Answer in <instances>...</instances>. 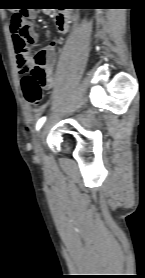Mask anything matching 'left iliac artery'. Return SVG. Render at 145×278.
I'll list each match as a JSON object with an SVG mask.
<instances>
[{
  "mask_svg": "<svg viewBox=\"0 0 145 278\" xmlns=\"http://www.w3.org/2000/svg\"><path fill=\"white\" fill-rule=\"evenodd\" d=\"M45 121H46V117L40 118V119L37 121L36 130H39V129L42 127V125L44 124Z\"/></svg>",
  "mask_w": 145,
  "mask_h": 278,
  "instance_id": "1",
  "label": "left iliac artery"
}]
</instances>
